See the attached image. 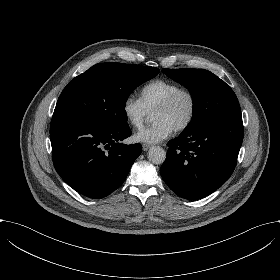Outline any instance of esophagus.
I'll return each mask as SVG.
<instances>
[{
    "mask_svg": "<svg viewBox=\"0 0 280 280\" xmlns=\"http://www.w3.org/2000/svg\"><path fill=\"white\" fill-rule=\"evenodd\" d=\"M142 146H143V151H147L151 148L152 145L144 143Z\"/></svg>",
    "mask_w": 280,
    "mask_h": 280,
    "instance_id": "34e87169",
    "label": "esophagus"
}]
</instances>
